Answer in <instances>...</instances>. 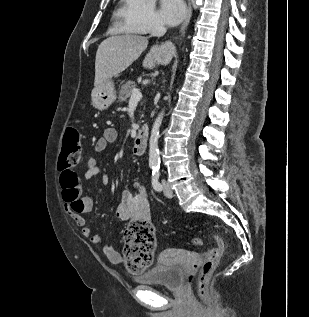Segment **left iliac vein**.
<instances>
[{
	"mask_svg": "<svg viewBox=\"0 0 309 317\" xmlns=\"http://www.w3.org/2000/svg\"><path fill=\"white\" fill-rule=\"evenodd\" d=\"M162 186H163V193L166 197L168 198H172L173 197V191L170 187V185L168 184V182H166L165 180H162Z\"/></svg>",
	"mask_w": 309,
	"mask_h": 317,
	"instance_id": "1",
	"label": "left iliac vein"
}]
</instances>
